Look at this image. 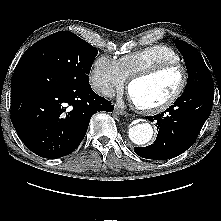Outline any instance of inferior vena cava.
<instances>
[{"instance_id":"obj_1","label":"inferior vena cava","mask_w":221,"mask_h":221,"mask_svg":"<svg viewBox=\"0 0 221 221\" xmlns=\"http://www.w3.org/2000/svg\"><path fill=\"white\" fill-rule=\"evenodd\" d=\"M101 93L106 97H110L114 93V90L111 86L106 85L101 88Z\"/></svg>"}]
</instances>
